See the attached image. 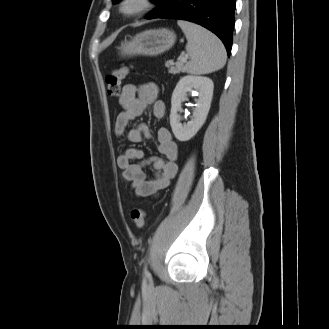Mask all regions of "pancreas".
<instances>
[{"label": "pancreas", "mask_w": 329, "mask_h": 329, "mask_svg": "<svg viewBox=\"0 0 329 329\" xmlns=\"http://www.w3.org/2000/svg\"><path fill=\"white\" fill-rule=\"evenodd\" d=\"M165 66L168 68V72L171 74H178L180 72H184L185 71V67L184 64L182 62H166Z\"/></svg>", "instance_id": "1"}]
</instances>
